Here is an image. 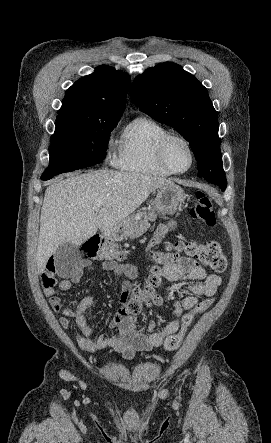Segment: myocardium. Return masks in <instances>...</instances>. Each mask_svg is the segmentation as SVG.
<instances>
[{
  "instance_id": "obj_1",
  "label": "myocardium",
  "mask_w": 271,
  "mask_h": 443,
  "mask_svg": "<svg viewBox=\"0 0 271 443\" xmlns=\"http://www.w3.org/2000/svg\"><path fill=\"white\" fill-rule=\"evenodd\" d=\"M173 139L181 140L188 147V149L190 151L191 164L186 170L179 171V170L174 169L167 159L166 148H167L168 143ZM156 151H157V156H158L160 163L172 174H185V173L189 172L195 165L196 153H195L194 147L191 144V142L181 134L173 133V132L167 133L158 142Z\"/></svg>"
}]
</instances>
